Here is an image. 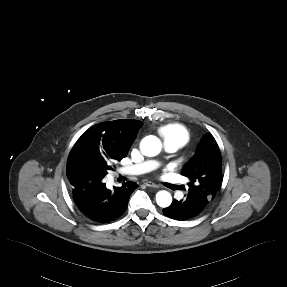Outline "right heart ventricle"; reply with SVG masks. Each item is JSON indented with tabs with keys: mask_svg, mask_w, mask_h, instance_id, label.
<instances>
[{
	"mask_svg": "<svg viewBox=\"0 0 287 287\" xmlns=\"http://www.w3.org/2000/svg\"><path fill=\"white\" fill-rule=\"evenodd\" d=\"M159 134L163 142L176 144L179 148L183 147L189 141L187 128L179 123L167 124L159 128Z\"/></svg>",
	"mask_w": 287,
	"mask_h": 287,
	"instance_id": "obj_1",
	"label": "right heart ventricle"
}]
</instances>
